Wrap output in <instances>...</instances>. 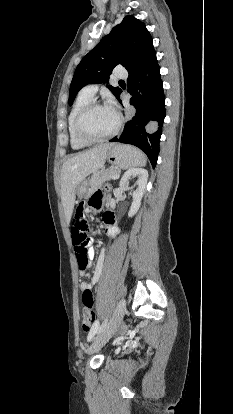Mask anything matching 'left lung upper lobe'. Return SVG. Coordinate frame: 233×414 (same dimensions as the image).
<instances>
[{"label": "left lung upper lobe", "mask_w": 233, "mask_h": 414, "mask_svg": "<svg viewBox=\"0 0 233 414\" xmlns=\"http://www.w3.org/2000/svg\"><path fill=\"white\" fill-rule=\"evenodd\" d=\"M154 52L152 37L146 26L134 16H125L77 66L70 84L69 105L83 86L106 82L117 64L132 72ZM107 87L118 99L121 89L111 85Z\"/></svg>", "instance_id": "left-lung-upper-lobe-1"}]
</instances>
